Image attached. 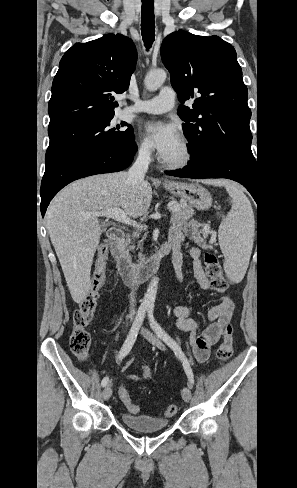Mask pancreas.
I'll list each match as a JSON object with an SVG mask.
<instances>
[{
    "label": "pancreas",
    "instance_id": "1",
    "mask_svg": "<svg viewBox=\"0 0 297 488\" xmlns=\"http://www.w3.org/2000/svg\"><path fill=\"white\" fill-rule=\"evenodd\" d=\"M174 205H176V209L172 211V214H171V222L173 224H176L178 226H185V227H188V226H200L201 224L196 221V220H191L190 221V218L193 216L194 214V209L189 206V205H183L181 203H178L176 201H172L170 202ZM200 233H203V231H200V232H197V231H194L192 233V236L191 238L197 242V243H201L203 241V239L201 238L200 236ZM143 239H145V237L142 238V240L140 241V243L143 241ZM139 247H140V244H139ZM134 246H129V248H127L125 250V254L127 256V258L130 260V255H129V251L131 249H133ZM139 258L140 260H144V258L142 257V254L139 253Z\"/></svg>",
    "mask_w": 297,
    "mask_h": 488
}]
</instances>
